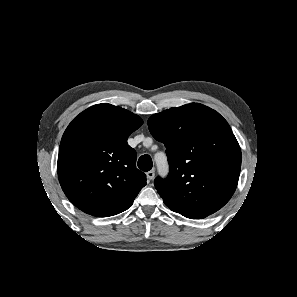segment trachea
<instances>
[{"label": "trachea", "mask_w": 297, "mask_h": 297, "mask_svg": "<svg viewBox=\"0 0 297 297\" xmlns=\"http://www.w3.org/2000/svg\"><path fill=\"white\" fill-rule=\"evenodd\" d=\"M137 165L142 171L147 172L152 169V159L149 155H142Z\"/></svg>", "instance_id": "trachea-1"}]
</instances>
